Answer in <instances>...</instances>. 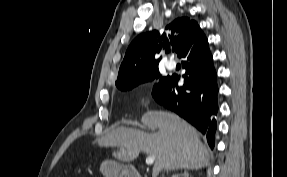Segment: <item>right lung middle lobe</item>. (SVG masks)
Instances as JSON below:
<instances>
[{
  "mask_svg": "<svg viewBox=\"0 0 287 177\" xmlns=\"http://www.w3.org/2000/svg\"><path fill=\"white\" fill-rule=\"evenodd\" d=\"M156 78H160L161 81H164V79L166 77H162L161 74L159 73V70L155 69L154 71L148 73L147 75L143 76L142 78H139V79L134 80V81L118 84L116 86L120 90H130V89L134 88L135 86L139 85L140 83L152 81Z\"/></svg>",
  "mask_w": 287,
  "mask_h": 177,
  "instance_id": "obj_1",
  "label": "right lung middle lobe"
}]
</instances>
